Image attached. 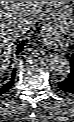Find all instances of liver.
<instances>
[{
    "label": "liver",
    "instance_id": "obj_1",
    "mask_svg": "<svg viewBox=\"0 0 74 122\" xmlns=\"http://www.w3.org/2000/svg\"><path fill=\"white\" fill-rule=\"evenodd\" d=\"M61 1H0V71L5 72L18 40L43 15V6L56 7ZM29 22V26L25 25ZM26 26L21 32L20 27Z\"/></svg>",
    "mask_w": 74,
    "mask_h": 122
}]
</instances>
